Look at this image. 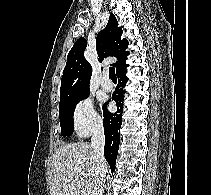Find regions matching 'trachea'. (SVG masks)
<instances>
[{"label":"trachea","mask_w":211,"mask_h":195,"mask_svg":"<svg viewBox=\"0 0 211 195\" xmlns=\"http://www.w3.org/2000/svg\"><path fill=\"white\" fill-rule=\"evenodd\" d=\"M109 76L112 80H117L116 74H115V69L113 67L109 68Z\"/></svg>","instance_id":"1"}]
</instances>
